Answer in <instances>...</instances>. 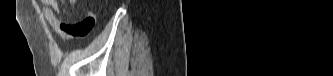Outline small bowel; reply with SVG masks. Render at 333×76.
Masks as SVG:
<instances>
[{"mask_svg": "<svg viewBox=\"0 0 333 76\" xmlns=\"http://www.w3.org/2000/svg\"><path fill=\"white\" fill-rule=\"evenodd\" d=\"M71 5H77L79 0H69ZM43 14L49 25L55 29L62 37L69 39H86L87 34L95 25V18L92 12H88L86 19L70 23L59 18V6L56 0H43Z\"/></svg>", "mask_w": 333, "mask_h": 76, "instance_id": "1", "label": "small bowel"}]
</instances>
